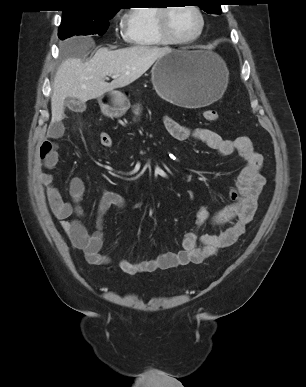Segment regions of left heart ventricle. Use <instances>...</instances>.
Wrapping results in <instances>:
<instances>
[{"label":"left heart ventricle","instance_id":"1","mask_svg":"<svg viewBox=\"0 0 306 387\" xmlns=\"http://www.w3.org/2000/svg\"><path fill=\"white\" fill-rule=\"evenodd\" d=\"M170 29L173 35L180 39L194 36L200 25L199 18L190 7H174L169 17Z\"/></svg>","mask_w":306,"mask_h":387}]
</instances>
